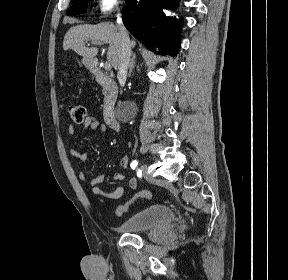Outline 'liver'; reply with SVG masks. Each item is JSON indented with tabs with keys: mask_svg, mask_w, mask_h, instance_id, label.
I'll list each match as a JSON object with an SVG mask.
<instances>
[{
	"mask_svg": "<svg viewBox=\"0 0 288 280\" xmlns=\"http://www.w3.org/2000/svg\"><path fill=\"white\" fill-rule=\"evenodd\" d=\"M86 41L108 43L107 59L111 66L119 68V56L121 54V38L118 27L113 23H100L97 25L83 24L71 27L66 33L63 41V49L74 50L83 58H94L98 48L86 47ZM136 42L130 41V46L135 47Z\"/></svg>",
	"mask_w": 288,
	"mask_h": 280,
	"instance_id": "liver-1",
	"label": "liver"
}]
</instances>
